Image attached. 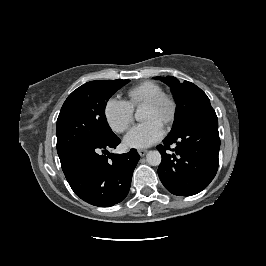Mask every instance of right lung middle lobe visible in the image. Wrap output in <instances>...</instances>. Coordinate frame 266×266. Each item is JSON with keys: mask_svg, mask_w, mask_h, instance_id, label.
Masks as SVG:
<instances>
[{"mask_svg": "<svg viewBox=\"0 0 266 266\" xmlns=\"http://www.w3.org/2000/svg\"><path fill=\"white\" fill-rule=\"evenodd\" d=\"M128 82L91 81L67 97L57 119V153L60 159L76 148L92 146L114 135L105 116L106 102Z\"/></svg>", "mask_w": 266, "mask_h": 266, "instance_id": "1", "label": "right lung middle lobe"}]
</instances>
